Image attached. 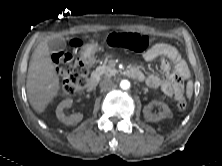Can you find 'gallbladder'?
Segmentation results:
<instances>
[{
  "instance_id": "obj_1",
  "label": "gallbladder",
  "mask_w": 222,
  "mask_h": 166,
  "mask_svg": "<svg viewBox=\"0 0 222 166\" xmlns=\"http://www.w3.org/2000/svg\"><path fill=\"white\" fill-rule=\"evenodd\" d=\"M50 51L63 50L66 47V41L63 37H56L48 41Z\"/></svg>"
}]
</instances>
